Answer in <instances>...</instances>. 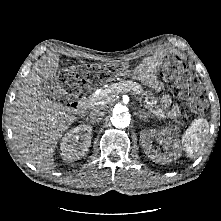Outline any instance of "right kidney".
Returning a JSON list of instances; mask_svg holds the SVG:
<instances>
[{"mask_svg": "<svg viewBox=\"0 0 221 221\" xmlns=\"http://www.w3.org/2000/svg\"><path fill=\"white\" fill-rule=\"evenodd\" d=\"M91 130L88 125H79L64 135L60 146L64 161L74 162L86 155L91 146Z\"/></svg>", "mask_w": 221, "mask_h": 221, "instance_id": "ca27d5eb", "label": "right kidney"}]
</instances>
